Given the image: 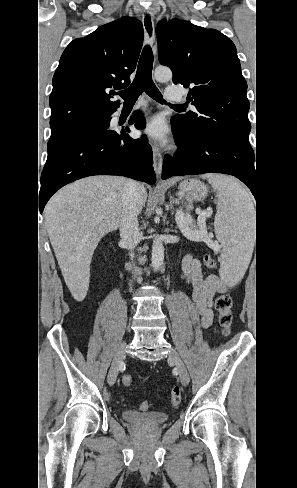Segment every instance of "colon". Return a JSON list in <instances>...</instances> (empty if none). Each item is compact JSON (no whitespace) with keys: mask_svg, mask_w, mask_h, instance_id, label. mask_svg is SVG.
Returning a JSON list of instances; mask_svg holds the SVG:
<instances>
[{"mask_svg":"<svg viewBox=\"0 0 297 488\" xmlns=\"http://www.w3.org/2000/svg\"><path fill=\"white\" fill-rule=\"evenodd\" d=\"M204 266L208 270H215L217 268L216 261L210 257L206 256L204 258ZM216 309L218 311V323L222 329V333L227 336L230 333V328L232 325V299L229 295H220L216 300ZM122 377L124 384L126 386L130 385L132 381V376L128 371L122 372ZM181 390L179 387H174L171 391V404L172 406H177L180 403ZM150 408L149 402H143L140 404L139 409L141 411H147Z\"/></svg>","mask_w":297,"mask_h":488,"instance_id":"1","label":"colon"}]
</instances>
